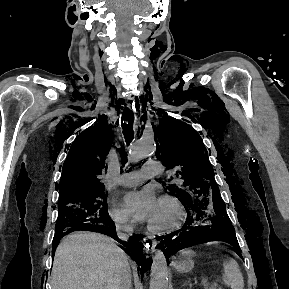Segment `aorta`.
I'll use <instances>...</instances> for the list:
<instances>
[{
	"label": "aorta",
	"instance_id": "aorta-1",
	"mask_svg": "<svg viewBox=\"0 0 289 289\" xmlns=\"http://www.w3.org/2000/svg\"><path fill=\"white\" fill-rule=\"evenodd\" d=\"M156 152V144L152 137H142L131 148L128 159L139 162L152 157ZM150 289H168V268L164 253L157 250L153 257L150 274Z\"/></svg>",
	"mask_w": 289,
	"mask_h": 289
}]
</instances>
